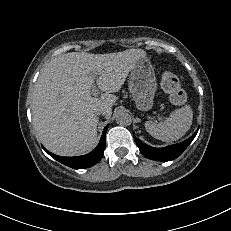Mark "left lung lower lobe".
Wrapping results in <instances>:
<instances>
[{
	"label": "left lung lower lobe",
	"instance_id": "obj_1",
	"mask_svg": "<svg viewBox=\"0 0 231 231\" xmlns=\"http://www.w3.org/2000/svg\"><path fill=\"white\" fill-rule=\"evenodd\" d=\"M197 132L198 130L189 139L181 143L170 145L164 148L151 147L143 143L140 139L136 138L134 133H133V137L140 151L147 158L157 161H169L177 158L183 153V151L188 147V145L195 138Z\"/></svg>",
	"mask_w": 231,
	"mask_h": 231
}]
</instances>
